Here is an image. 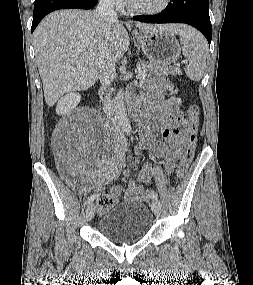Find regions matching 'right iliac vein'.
I'll return each mask as SVG.
<instances>
[{
  "label": "right iliac vein",
  "mask_w": 253,
  "mask_h": 285,
  "mask_svg": "<svg viewBox=\"0 0 253 285\" xmlns=\"http://www.w3.org/2000/svg\"><path fill=\"white\" fill-rule=\"evenodd\" d=\"M95 214V206L94 204H89L86 209V218L88 221L92 220Z\"/></svg>",
  "instance_id": "63e3f726"
}]
</instances>
